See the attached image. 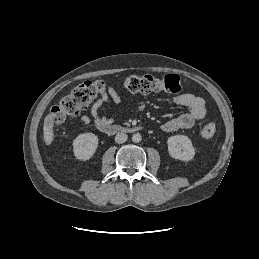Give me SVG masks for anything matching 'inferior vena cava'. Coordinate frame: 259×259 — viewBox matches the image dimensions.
Returning <instances> with one entry per match:
<instances>
[{
	"instance_id": "602c4592",
	"label": "inferior vena cava",
	"mask_w": 259,
	"mask_h": 259,
	"mask_svg": "<svg viewBox=\"0 0 259 259\" xmlns=\"http://www.w3.org/2000/svg\"><path fill=\"white\" fill-rule=\"evenodd\" d=\"M127 139H128V136L125 133H118L115 136V142L118 143V144L126 142Z\"/></svg>"
}]
</instances>
